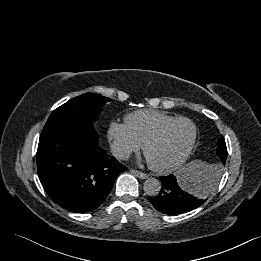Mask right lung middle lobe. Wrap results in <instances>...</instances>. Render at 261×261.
Here are the masks:
<instances>
[{
  "instance_id": "right-lung-middle-lobe-1",
  "label": "right lung middle lobe",
  "mask_w": 261,
  "mask_h": 261,
  "mask_svg": "<svg viewBox=\"0 0 261 261\" xmlns=\"http://www.w3.org/2000/svg\"><path fill=\"white\" fill-rule=\"evenodd\" d=\"M108 101H110L109 98L95 93L77 96L52 112L43 131L64 124L96 121Z\"/></svg>"
}]
</instances>
